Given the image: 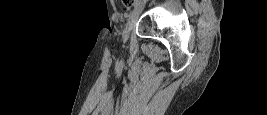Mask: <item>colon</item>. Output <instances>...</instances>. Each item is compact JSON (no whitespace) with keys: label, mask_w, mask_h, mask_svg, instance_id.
<instances>
[{"label":"colon","mask_w":267,"mask_h":115,"mask_svg":"<svg viewBox=\"0 0 267 115\" xmlns=\"http://www.w3.org/2000/svg\"><path fill=\"white\" fill-rule=\"evenodd\" d=\"M128 14H129V9L126 6H123L122 10H121V15L123 17H126V16H128Z\"/></svg>","instance_id":"colon-1"}]
</instances>
